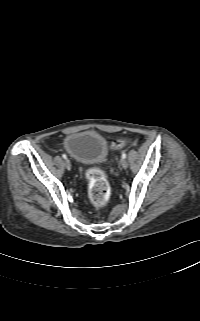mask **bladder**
Here are the masks:
<instances>
[{"label": "bladder", "mask_w": 200, "mask_h": 321, "mask_svg": "<svg viewBox=\"0 0 200 321\" xmlns=\"http://www.w3.org/2000/svg\"><path fill=\"white\" fill-rule=\"evenodd\" d=\"M63 145L66 152L82 164L102 162L108 154L106 138L95 130L69 133L65 137Z\"/></svg>", "instance_id": "31cf9c89"}]
</instances>
